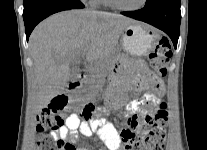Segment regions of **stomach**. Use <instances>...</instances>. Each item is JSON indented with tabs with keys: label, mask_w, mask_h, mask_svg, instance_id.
Listing matches in <instances>:
<instances>
[{
	"label": "stomach",
	"mask_w": 207,
	"mask_h": 150,
	"mask_svg": "<svg viewBox=\"0 0 207 150\" xmlns=\"http://www.w3.org/2000/svg\"><path fill=\"white\" fill-rule=\"evenodd\" d=\"M157 33L143 24H130L121 34L123 50L133 58H142L149 54L156 44ZM112 89L111 87L109 88Z\"/></svg>",
	"instance_id": "0dacf381"
}]
</instances>
